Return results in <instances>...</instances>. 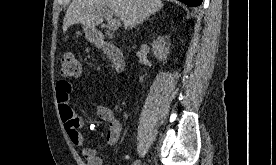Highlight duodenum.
Returning <instances> with one entry per match:
<instances>
[{
	"label": "duodenum",
	"mask_w": 276,
	"mask_h": 165,
	"mask_svg": "<svg viewBox=\"0 0 276 165\" xmlns=\"http://www.w3.org/2000/svg\"><path fill=\"white\" fill-rule=\"evenodd\" d=\"M92 42L102 49L111 62L112 68L120 72L124 67V56L121 49L114 43L108 42L101 32L91 34Z\"/></svg>",
	"instance_id": "410a0bca"
}]
</instances>
